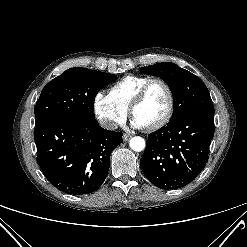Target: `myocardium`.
Segmentation results:
<instances>
[{
    "label": "myocardium",
    "mask_w": 247,
    "mask_h": 247,
    "mask_svg": "<svg viewBox=\"0 0 247 247\" xmlns=\"http://www.w3.org/2000/svg\"><path fill=\"white\" fill-rule=\"evenodd\" d=\"M155 84H160L161 86L164 87V89L167 92L168 95V108L165 113V115L156 123L147 126V130H157L163 126H165L172 118L174 109H175V95L172 87L170 84L165 81L164 79L161 78H152L149 79L136 93L134 98L132 99L130 106H129V111L132 115H134L135 109L144 101L146 98L150 88L155 85Z\"/></svg>",
    "instance_id": "1"
}]
</instances>
